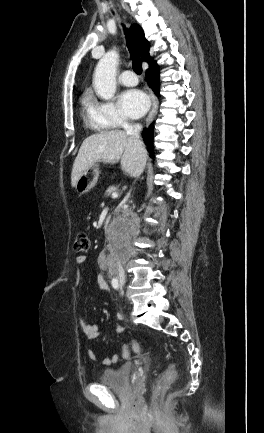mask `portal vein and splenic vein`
<instances>
[{
	"instance_id": "1",
	"label": "portal vein and splenic vein",
	"mask_w": 264,
	"mask_h": 433,
	"mask_svg": "<svg viewBox=\"0 0 264 433\" xmlns=\"http://www.w3.org/2000/svg\"><path fill=\"white\" fill-rule=\"evenodd\" d=\"M112 198H118V193L116 192L112 193Z\"/></svg>"
}]
</instances>
